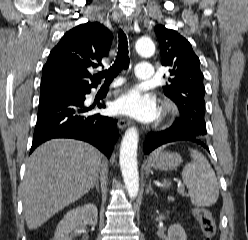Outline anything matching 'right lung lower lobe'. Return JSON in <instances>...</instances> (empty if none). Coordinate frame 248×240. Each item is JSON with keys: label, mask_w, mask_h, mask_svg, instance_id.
Masks as SVG:
<instances>
[{"label": "right lung lower lobe", "mask_w": 248, "mask_h": 240, "mask_svg": "<svg viewBox=\"0 0 248 240\" xmlns=\"http://www.w3.org/2000/svg\"><path fill=\"white\" fill-rule=\"evenodd\" d=\"M90 91L40 100L30 153L47 140L74 138L89 142L110 157L118 139L117 120L93 114L92 107L84 106L85 95Z\"/></svg>", "instance_id": "1"}]
</instances>
